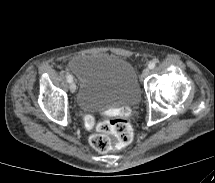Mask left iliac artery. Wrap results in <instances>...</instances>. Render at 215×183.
Returning a JSON list of instances; mask_svg holds the SVG:
<instances>
[{
	"label": "left iliac artery",
	"instance_id": "left-iliac-artery-1",
	"mask_svg": "<svg viewBox=\"0 0 215 183\" xmlns=\"http://www.w3.org/2000/svg\"><path fill=\"white\" fill-rule=\"evenodd\" d=\"M155 66H156L155 62H150L148 65L149 69H153V68H155Z\"/></svg>",
	"mask_w": 215,
	"mask_h": 183
}]
</instances>
